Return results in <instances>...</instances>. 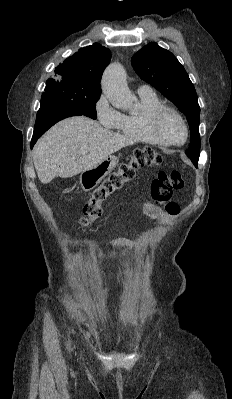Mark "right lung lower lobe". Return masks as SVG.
<instances>
[{
    "label": "right lung lower lobe",
    "instance_id": "98d812e1",
    "mask_svg": "<svg viewBox=\"0 0 232 399\" xmlns=\"http://www.w3.org/2000/svg\"><path fill=\"white\" fill-rule=\"evenodd\" d=\"M80 115L86 116L75 107L62 102L41 101L31 141V149L36 141L55 123L68 117Z\"/></svg>",
    "mask_w": 232,
    "mask_h": 399
}]
</instances>
